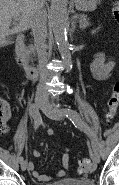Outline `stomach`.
<instances>
[{"label":"stomach","instance_id":"obj_1","mask_svg":"<svg viewBox=\"0 0 119 185\" xmlns=\"http://www.w3.org/2000/svg\"><path fill=\"white\" fill-rule=\"evenodd\" d=\"M99 0H75V7L78 11H93L96 9Z\"/></svg>","mask_w":119,"mask_h":185}]
</instances>
